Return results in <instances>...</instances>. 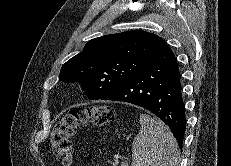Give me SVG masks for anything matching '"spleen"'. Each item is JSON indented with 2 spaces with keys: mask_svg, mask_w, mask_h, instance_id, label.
I'll return each mask as SVG.
<instances>
[{
  "mask_svg": "<svg viewBox=\"0 0 231 166\" xmlns=\"http://www.w3.org/2000/svg\"><path fill=\"white\" fill-rule=\"evenodd\" d=\"M140 132L132 145V166H179L180 151L170 129L160 120L140 114Z\"/></svg>",
  "mask_w": 231,
  "mask_h": 166,
  "instance_id": "obj_1",
  "label": "spleen"
}]
</instances>
